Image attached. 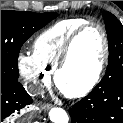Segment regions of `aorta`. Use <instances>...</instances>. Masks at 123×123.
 <instances>
[{"instance_id":"762f6f07","label":"aorta","mask_w":123,"mask_h":123,"mask_svg":"<svg viewBox=\"0 0 123 123\" xmlns=\"http://www.w3.org/2000/svg\"><path fill=\"white\" fill-rule=\"evenodd\" d=\"M49 118L53 123H68L69 121L66 111L59 107H54L50 110Z\"/></svg>"}]
</instances>
